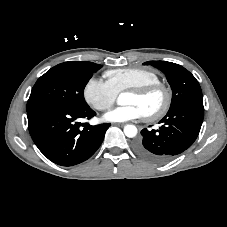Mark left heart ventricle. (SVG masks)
Here are the masks:
<instances>
[{
  "label": "left heart ventricle",
  "mask_w": 227,
  "mask_h": 227,
  "mask_svg": "<svg viewBox=\"0 0 227 227\" xmlns=\"http://www.w3.org/2000/svg\"><path fill=\"white\" fill-rule=\"evenodd\" d=\"M163 102V95L161 92H154L145 97H138L131 93H126L122 97L123 104H133L138 106L144 115L155 112L160 108Z\"/></svg>",
  "instance_id": "b2bd125f"
}]
</instances>
